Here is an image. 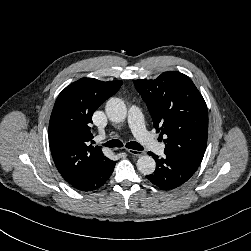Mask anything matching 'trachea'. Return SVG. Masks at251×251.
I'll return each mask as SVG.
<instances>
[{"label":"trachea","mask_w":251,"mask_h":251,"mask_svg":"<svg viewBox=\"0 0 251 251\" xmlns=\"http://www.w3.org/2000/svg\"><path fill=\"white\" fill-rule=\"evenodd\" d=\"M106 147L114 148V147H123V143L120 140L114 139L106 142L104 144ZM126 148L128 149H133V150H143V147L135 142V141H130L125 145Z\"/></svg>","instance_id":"trachea-1"}]
</instances>
